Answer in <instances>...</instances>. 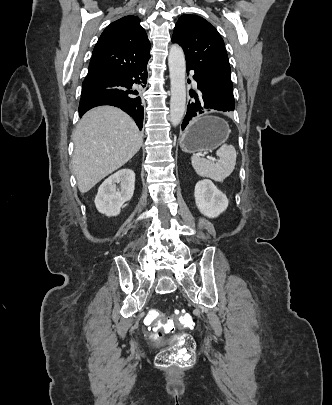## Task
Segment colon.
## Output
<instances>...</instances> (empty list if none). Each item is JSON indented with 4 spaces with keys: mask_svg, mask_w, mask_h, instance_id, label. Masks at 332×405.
<instances>
[{
    "mask_svg": "<svg viewBox=\"0 0 332 405\" xmlns=\"http://www.w3.org/2000/svg\"><path fill=\"white\" fill-rule=\"evenodd\" d=\"M147 328H164L166 332H173L176 326L191 328L193 317L188 313H175L167 317L156 311H151L145 319ZM159 337V335H157ZM175 344L159 353L156 363L162 367L191 366L195 361V342L189 334L175 336Z\"/></svg>",
    "mask_w": 332,
    "mask_h": 405,
    "instance_id": "1",
    "label": "colon"
}]
</instances>
